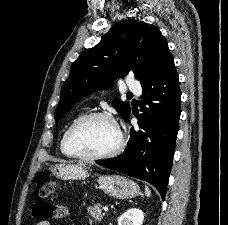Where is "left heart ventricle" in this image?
I'll use <instances>...</instances> for the list:
<instances>
[{
  "mask_svg": "<svg viewBox=\"0 0 228 225\" xmlns=\"http://www.w3.org/2000/svg\"><path fill=\"white\" fill-rule=\"evenodd\" d=\"M118 144L115 127L107 120L94 118L83 123L74 133L72 149L81 154L99 155Z\"/></svg>",
  "mask_w": 228,
  "mask_h": 225,
  "instance_id": "left-heart-ventricle-1",
  "label": "left heart ventricle"
}]
</instances>
